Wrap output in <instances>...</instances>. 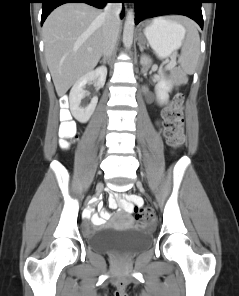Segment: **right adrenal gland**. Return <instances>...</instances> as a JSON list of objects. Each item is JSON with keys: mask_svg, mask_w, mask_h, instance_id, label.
<instances>
[{"mask_svg": "<svg viewBox=\"0 0 239 296\" xmlns=\"http://www.w3.org/2000/svg\"><path fill=\"white\" fill-rule=\"evenodd\" d=\"M100 63L106 64V63H109V60L104 58L103 60L100 61Z\"/></svg>", "mask_w": 239, "mask_h": 296, "instance_id": "obj_1", "label": "right adrenal gland"}]
</instances>
